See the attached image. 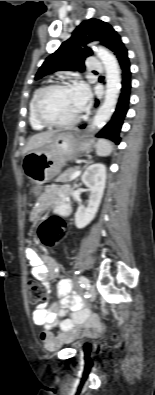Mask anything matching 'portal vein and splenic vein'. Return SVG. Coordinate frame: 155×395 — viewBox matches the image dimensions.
<instances>
[{
	"label": "portal vein and splenic vein",
	"instance_id": "1",
	"mask_svg": "<svg viewBox=\"0 0 155 395\" xmlns=\"http://www.w3.org/2000/svg\"><path fill=\"white\" fill-rule=\"evenodd\" d=\"M79 174H80V171L77 170L76 172H74V173L71 175L70 180L75 179Z\"/></svg>",
	"mask_w": 155,
	"mask_h": 395
}]
</instances>
